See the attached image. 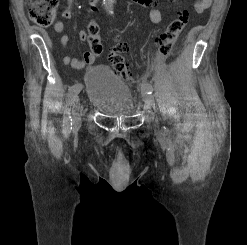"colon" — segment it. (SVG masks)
I'll return each mask as SVG.
<instances>
[{"label": "colon", "mask_w": 247, "mask_h": 245, "mask_svg": "<svg viewBox=\"0 0 247 245\" xmlns=\"http://www.w3.org/2000/svg\"><path fill=\"white\" fill-rule=\"evenodd\" d=\"M26 4L30 19L36 24L46 27L50 26L55 19L59 0H26ZM188 18L189 13L183 11L168 24L164 32L157 38V45L163 55L168 56L171 54L179 35L188 23ZM87 30V39L91 51L96 55H100L103 47L99 37V26L96 22L91 21ZM127 51L128 48L125 44L116 43L110 50L109 60L120 77L127 82L134 83L136 77L125 59Z\"/></svg>", "instance_id": "colon-1"}]
</instances>
